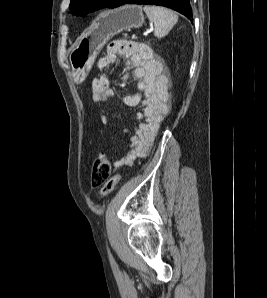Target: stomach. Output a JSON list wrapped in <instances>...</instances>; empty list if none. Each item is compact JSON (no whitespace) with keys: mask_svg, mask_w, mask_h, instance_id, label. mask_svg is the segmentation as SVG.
I'll return each mask as SVG.
<instances>
[{"mask_svg":"<svg viewBox=\"0 0 267 298\" xmlns=\"http://www.w3.org/2000/svg\"><path fill=\"white\" fill-rule=\"evenodd\" d=\"M143 23L144 15L139 5H125L103 13L91 32L70 53L74 80L77 83L84 81L100 50L110 38L124 30L139 28Z\"/></svg>","mask_w":267,"mask_h":298,"instance_id":"0dacf381","label":"stomach"}]
</instances>
